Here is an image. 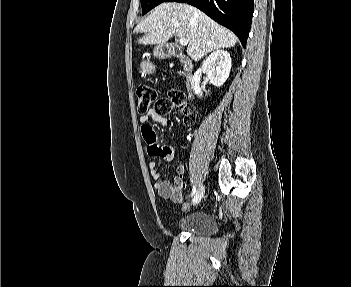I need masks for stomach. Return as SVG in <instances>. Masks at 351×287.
Wrapping results in <instances>:
<instances>
[{
  "instance_id": "1",
  "label": "stomach",
  "mask_w": 351,
  "mask_h": 287,
  "mask_svg": "<svg viewBox=\"0 0 351 287\" xmlns=\"http://www.w3.org/2000/svg\"><path fill=\"white\" fill-rule=\"evenodd\" d=\"M154 55L157 57H165L166 53L163 51V46H157L154 49ZM154 69H155V66L149 61H145L141 64V71L145 75L152 73Z\"/></svg>"
}]
</instances>
